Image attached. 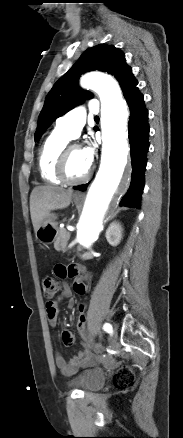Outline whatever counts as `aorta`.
<instances>
[{
    "mask_svg": "<svg viewBox=\"0 0 183 438\" xmlns=\"http://www.w3.org/2000/svg\"><path fill=\"white\" fill-rule=\"evenodd\" d=\"M80 84L83 88L94 90L101 101V164L88 191L76 235L81 246L90 247L98 239L127 164L129 113L120 87L112 77L97 72L88 73L81 78Z\"/></svg>",
    "mask_w": 183,
    "mask_h": 438,
    "instance_id": "aorta-1",
    "label": "aorta"
}]
</instances>
